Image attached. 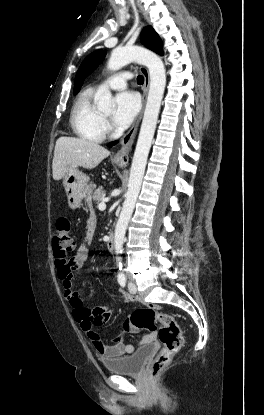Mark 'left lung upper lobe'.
<instances>
[{"label": "left lung upper lobe", "mask_w": 264, "mask_h": 415, "mask_svg": "<svg viewBox=\"0 0 264 415\" xmlns=\"http://www.w3.org/2000/svg\"><path fill=\"white\" fill-rule=\"evenodd\" d=\"M141 42L151 49L152 51L163 55L162 51V41L158 34L154 31V29L151 26H146L141 34ZM106 52L102 50L95 51L91 53L89 56H87L82 64L80 65V68L76 74L75 79V87H74V93L76 94L85 78L93 72V70L99 65V63L104 59Z\"/></svg>", "instance_id": "left-lung-upper-lobe-1"}]
</instances>
